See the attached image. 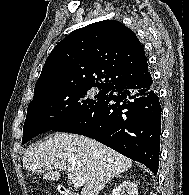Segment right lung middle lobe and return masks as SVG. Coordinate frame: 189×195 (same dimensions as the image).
<instances>
[{
  "instance_id": "obj_1",
  "label": "right lung middle lobe",
  "mask_w": 189,
  "mask_h": 195,
  "mask_svg": "<svg viewBox=\"0 0 189 195\" xmlns=\"http://www.w3.org/2000/svg\"><path fill=\"white\" fill-rule=\"evenodd\" d=\"M92 86H75L57 90L32 100L27 108L23 126L22 143L33 137L53 130L69 119L93 106L106 92V88L97 87L99 93L89 98Z\"/></svg>"
}]
</instances>
